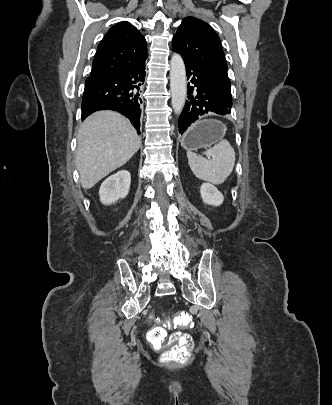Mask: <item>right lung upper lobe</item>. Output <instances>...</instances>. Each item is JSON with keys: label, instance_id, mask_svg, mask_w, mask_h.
Instances as JSON below:
<instances>
[{"label": "right lung upper lobe", "instance_id": "right-lung-upper-lobe-1", "mask_svg": "<svg viewBox=\"0 0 332 405\" xmlns=\"http://www.w3.org/2000/svg\"><path fill=\"white\" fill-rule=\"evenodd\" d=\"M148 57L146 41L127 21L114 25L98 45L90 74L124 70Z\"/></svg>", "mask_w": 332, "mask_h": 405}]
</instances>
